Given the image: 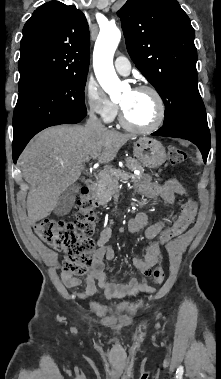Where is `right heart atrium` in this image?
Wrapping results in <instances>:
<instances>
[{
    "label": "right heart atrium",
    "instance_id": "obj_1",
    "mask_svg": "<svg viewBox=\"0 0 221 379\" xmlns=\"http://www.w3.org/2000/svg\"><path fill=\"white\" fill-rule=\"evenodd\" d=\"M84 99L88 111L101 121L109 123L117 115V105L94 81L88 80L84 87Z\"/></svg>",
    "mask_w": 221,
    "mask_h": 379
}]
</instances>
